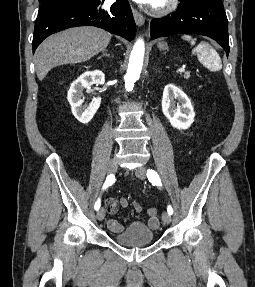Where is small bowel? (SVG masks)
I'll list each match as a JSON object with an SVG mask.
<instances>
[{"label":"small bowel","mask_w":255,"mask_h":287,"mask_svg":"<svg viewBox=\"0 0 255 287\" xmlns=\"http://www.w3.org/2000/svg\"><path fill=\"white\" fill-rule=\"evenodd\" d=\"M107 211L110 215H113L116 213L118 207L121 208H126L128 206V200L126 198H120L119 200L116 199H109L107 201ZM134 208L137 212H141L142 211V207L138 204V203H134ZM148 225L153 228L156 229L159 226V219L155 218V217H150L148 220ZM108 227L112 232H119L123 229V226L115 219H110L108 221Z\"/></svg>","instance_id":"1"}]
</instances>
